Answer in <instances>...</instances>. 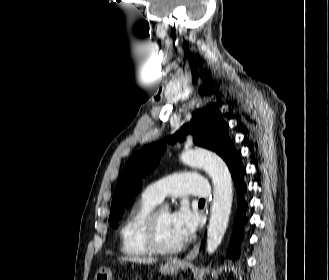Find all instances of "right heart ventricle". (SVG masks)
Wrapping results in <instances>:
<instances>
[{
  "label": "right heart ventricle",
  "instance_id": "obj_1",
  "mask_svg": "<svg viewBox=\"0 0 329 280\" xmlns=\"http://www.w3.org/2000/svg\"><path fill=\"white\" fill-rule=\"evenodd\" d=\"M159 202L143 193L130 209L120 228L122 252L131 257H142L151 253L144 236L143 226L150 212Z\"/></svg>",
  "mask_w": 329,
  "mask_h": 280
}]
</instances>
